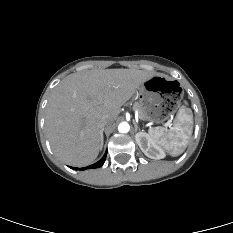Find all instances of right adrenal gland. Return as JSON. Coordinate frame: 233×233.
Returning a JSON list of instances; mask_svg holds the SVG:
<instances>
[{
    "label": "right adrenal gland",
    "instance_id": "2a0ac1e0",
    "mask_svg": "<svg viewBox=\"0 0 233 233\" xmlns=\"http://www.w3.org/2000/svg\"><path fill=\"white\" fill-rule=\"evenodd\" d=\"M102 132H103V130H102ZM102 145H103V135H102Z\"/></svg>",
    "mask_w": 233,
    "mask_h": 233
}]
</instances>
